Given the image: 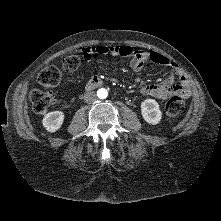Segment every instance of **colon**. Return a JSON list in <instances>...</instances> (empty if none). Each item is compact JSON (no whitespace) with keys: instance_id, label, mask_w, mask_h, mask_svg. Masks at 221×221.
<instances>
[{"instance_id":"5ec220e1","label":"colon","mask_w":221,"mask_h":221,"mask_svg":"<svg viewBox=\"0 0 221 221\" xmlns=\"http://www.w3.org/2000/svg\"><path fill=\"white\" fill-rule=\"evenodd\" d=\"M80 65V59L76 55H69L63 59V68L67 71H75ZM62 78L61 70L56 66H47L38 74V82L46 87H56ZM29 98L32 109L38 114L45 113L54 105L56 99L51 92H45L39 89H33ZM185 102L179 96H173L166 104L165 110L169 116H177L184 111Z\"/></svg>"}]
</instances>
